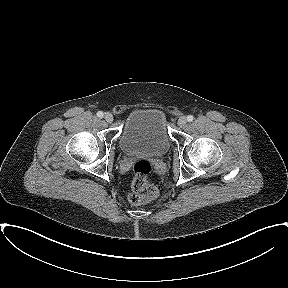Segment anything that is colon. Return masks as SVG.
<instances>
[{
    "instance_id": "colon-1",
    "label": "colon",
    "mask_w": 288,
    "mask_h": 288,
    "mask_svg": "<svg viewBox=\"0 0 288 288\" xmlns=\"http://www.w3.org/2000/svg\"><path fill=\"white\" fill-rule=\"evenodd\" d=\"M151 170L152 165L146 160H138L134 163L132 191L128 196L130 204L140 205L156 198L157 189L148 182V175Z\"/></svg>"
}]
</instances>
